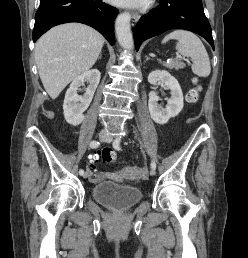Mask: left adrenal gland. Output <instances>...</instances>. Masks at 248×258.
I'll return each instance as SVG.
<instances>
[{"instance_id":"obj_1","label":"left adrenal gland","mask_w":248,"mask_h":258,"mask_svg":"<svg viewBox=\"0 0 248 258\" xmlns=\"http://www.w3.org/2000/svg\"><path fill=\"white\" fill-rule=\"evenodd\" d=\"M149 59H151L150 57L146 56V61H148Z\"/></svg>"}]
</instances>
